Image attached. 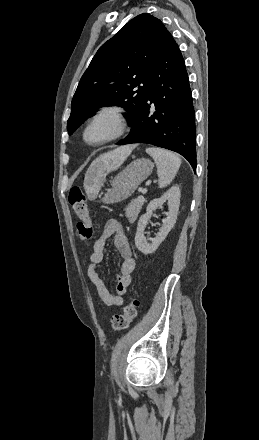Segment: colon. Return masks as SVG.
Here are the masks:
<instances>
[{
	"label": "colon",
	"instance_id": "obj_1",
	"mask_svg": "<svg viewBox=\"0 0 259 440\" xmlns=\"http://www.w3.org/2000/svg\"><path fill=\"white\" fill-rule=\"evenodd\" d=\"M68 200L79 219L77 222V231L81 241H91L94 236L93 224L87 207L86 198L80 187L74 186L70 189ZM138 306V300L135 298L131 299L124 307L123 313L115 315L112 318L111 324L113 330L122 331L127 329L137 316Z\"/></svg>",
	"mask_w": 259,
	"mask_h": 440
}]
</instances>
